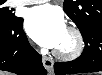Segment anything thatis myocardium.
<instances>
[{
  "mask_svg": "<svg viewBox=\"0 0 102 75\" xmlns=\"http://www.w3.org/2000/svg\"><path fill=\"white\" fill-rule=\"evenodd\" d=\"M67 32L74 38L75 45L73 49L67 52L56 49L55 54L60 59L70 61L81 55L85 47V40L81 31L77 27L69 26Z\"/></svg>",
  "mask_w": 102,
  "mask_h": 75,
  "instance_id": "1",
  "label": "myocardium"
}]
</instances>
